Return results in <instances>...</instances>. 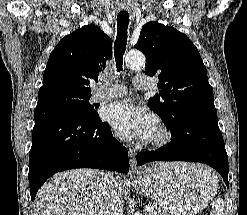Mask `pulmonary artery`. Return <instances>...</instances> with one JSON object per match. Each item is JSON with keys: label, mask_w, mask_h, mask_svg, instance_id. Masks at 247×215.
I'll return each instance as SVG.
<instances>
[{"label": "pulmonary artery", "mask_w": 247, "mask_h": 215, "mask_svg": "<svg viewBox=\"0 0 247 215\" xmlns=\"http://www.w3.org/2000/svg\"><path fill=\"white\" fill-rule=\"evenodd\" d=\"M133 84L136 89L145 90L152 87V79L146 75L134 77ZM126 93V88L122 85H107L102 84L100 89L94 94L93 98L96 101L109 100L123 96Z\"/></svg>", "instance_id": "e3ab8cb5"}]
</instances>
